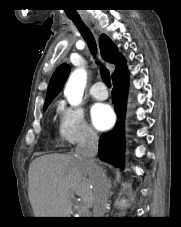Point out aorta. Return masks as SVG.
I'll return each mask as SVG.
<instances>
[{
	"mask_svg": "<svg viewBox=\"0 0 181 227\" xmlns=\"http://www.w3.org/2000/svg\"><path fill=\"white\" fill-rule=\"evenodd\" d=\"M87 82V72L83 68L75 69L64 89V96L72 106H78L82 102L84 88Z\"/></svg>",
	"mask_w": 181,
	"mask_h": 227,
	"instance_id": "762f6f07",
	"label": "aorta"
}]
</instances>
